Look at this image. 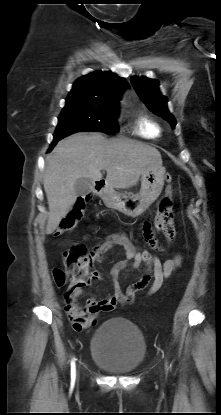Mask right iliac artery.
<instances>
[{"instance_id":"obj_1","label":"right iliac artery","mask_w":221,"mask_h":415,"mask_svg":"<svg viewBox=\"0 0 221 415\" xmlns=\"http://www.w3.org/2000/svg\"><path fill=\"white\" fill-rule=\"evenodd\" d=\"M76 378V365H75V360L73 359L71 361V380L75 381Z\"/></svg>"}]
</instances>
